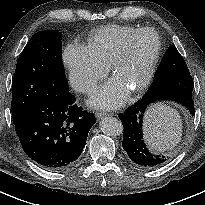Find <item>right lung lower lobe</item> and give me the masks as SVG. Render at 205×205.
Returning a JSON list of instances; mask_svg holds the SVG:
<instances>
[{"label": "right lung lower lobe", "instance_id": "1", "mask_svg": "<svg viewBox=\"0 0 205 205\" xmlns=\"http://www.w3.org/2000/svg\"><path fill=\"white\" fill-rule=\"evenodd\" d=\"M75 101L69 91L50 96L14 124L25 153L48 170L73 166L96 122L94 114L82 111Z\"/></svg>", "mask_w": 205, "mask_h": 205}]
</instances>
